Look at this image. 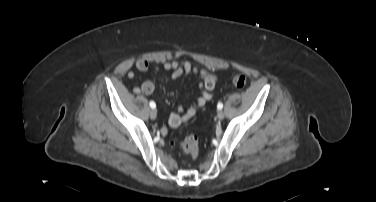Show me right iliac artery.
Returning <instances> with one entry per match:
<instances>
[{
  "label": "right iliac artery",
  "mask_w": 376,
  "mask_h": 202,
  "mask_svg": "<svg viewBox=\"0 0 376 202\" xmlns=\"http://www.w3.org/2000/svg\"><path fill=\"white\" fill-rule=\"evenodd\" d=\"M149 105H150V107H151L152 109H155V108H156V104H155V102H153V101H150Z\"/></svg>",
  "instance_id": "right-iliac-artery-1"
}]
</instances>
